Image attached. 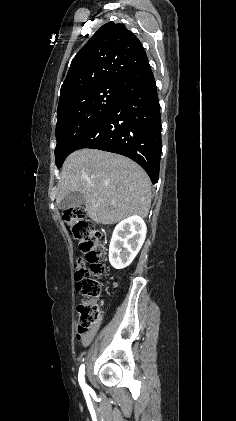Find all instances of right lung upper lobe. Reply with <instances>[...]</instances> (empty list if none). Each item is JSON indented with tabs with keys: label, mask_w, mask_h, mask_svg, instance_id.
<instances>
[{
	"label": "right lung upper lobe",
	"mask_w": 236,
	"mask_h": 421,
	"mask_svg": "<svg viewBox=\"0 0 236 421\" xmlns=\"http://www.w3.org/2000/svg\"><path fill=\"white\" fill-rule=\"evenodd\" d=\"M148 63L139 39L123 24L106 23L71 62L58 106L81 93L119 86L121 79Z\"/></svg>",
	"instance_id": "1"
}]
</instances>
